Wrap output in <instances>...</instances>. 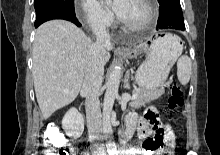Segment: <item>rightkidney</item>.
I'll return each mask as SVG.
<instances>
[{
	"label": "right kidney",
	"instance_id": "right-kidney-1",
	"mask_svg": "<svg viewBox=\"0 0 220 155\" xmlns=\"http://www.w3.org/2000/svg\"><path fill=\"white\" fill-rule=\"evenodd\" d=\"M62 127L66 135L72 138H79L84 130V118L77 109L71 108L62 120Z\"/></svg>",
	"mask_w": 220,
	"mask_h": 155
}]
</instances>
